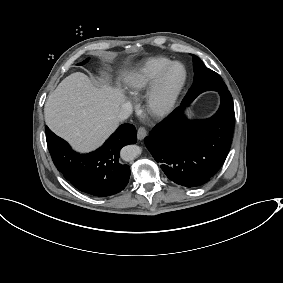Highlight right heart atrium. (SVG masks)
Returning <instances> with one entry per match:
<instances>
[{
	"label": "right heart atrium",
	"mask_w": 283,
	"mask_h": 283,
	"mask_svg": "<svg viewBox=\"0 0 283 283\" xmlns=\"http://www.w3.org/2000/svg\"><path fill=\"white\" fill-rule=\"evenodd\" d=\"M114 96L116 97V99L120 102H126V95L124 93L123 90L119 89V88H116L114 90Z\"/></svg>",
	"instance_id": "right-heart-atrium-1"
}]
</instances>
